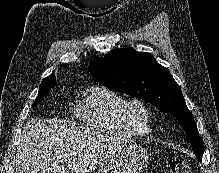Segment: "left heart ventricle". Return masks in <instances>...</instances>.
I'll return each instance as SVG.
<instances>
[{"instance_id": "left-heart-ventricle-1", "label": "left heart ventricle", "mask_w": 219, "mask_h": 173, "mask_svg": "<svg viewBox=\"0 0 219 173\" xmlns=\"http://www.w3.org/2000/svg\"><path fill=\"white\" fill-rule=\"evenodd\" d=\"M132 115L137 124L143 127L146 124V114L140 107H134L132 110Z\"/></svg>"}]
</instances>
